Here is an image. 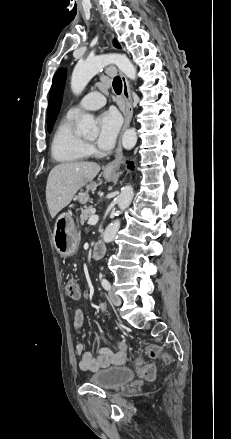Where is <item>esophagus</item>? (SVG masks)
I'll return each instance as SVG.
<instances>
[{"mask_svg": "<svg viewBox=\"0 0 231 439\" xmlns=\"http://www.w3.org/2000/svg\"><path fill=\"white\" fill-rule=\"evenodd\" d=\"M120 76H121V80H122V94H123V97H124V100L126 103V107L124 110L125 121H124V125H123L122 132H121V134H122L130 125V122H131L132 116H133V108H132V97H131V93H130L129 82L124 74L120 73ZM122 159H123V152H122V146H121V138H119L118 146H117L116 152H115V157L111 162H109L105 166L104 170L106 172H116L120 167Z\"/></svg>", "mask_w": 231, "mask_h": 439, "instance_id": "obj_1", "label": "esophagus"}]
</instances>
